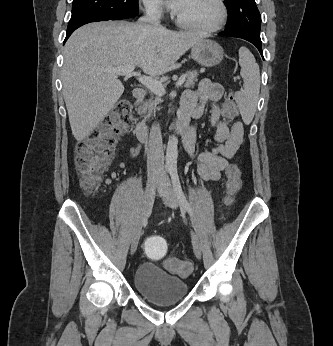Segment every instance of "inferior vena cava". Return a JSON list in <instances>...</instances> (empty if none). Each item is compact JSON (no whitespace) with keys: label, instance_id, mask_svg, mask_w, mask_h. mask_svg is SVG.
Wrapping results in <instances>:
<instances>
[{"label":"inferior vena cava","instance_id":"obj_1","mask_svg":"<svg viewBox=\"0 0 333 346\" xmlns=\"http://www.w3.org/2000/svg\"><path fill=\"white\" fill-rule=\"evenodd\" d=\"M161 13L157 8H153L146 12L144 17L139 19L140 22L147 23L155 28H162L160 25ZM164 151L162 142V133L159 124H153L148 139L147 147V171L148 178L158 177L163 172Z\"/></svg>","mask_w":333,"mask_h":346}]
</instances>
